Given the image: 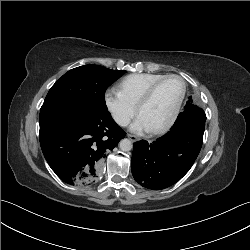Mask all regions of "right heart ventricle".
<instances>
[{
    "mask_svg": "<svg viewBox=\"0 0 250 250\" xmlns=\"http://www.w3.org/2000/svg\"><path fill=\"white\" fill-rule=\"evenodd\" d=\"M162 76L164 74L160 73L130 74L120 81L119 91L131 104L137 106L147 88Z\"/></svg>",
    "mask_w": 250,
    "mask_h": 250,
    "instance_id": "e07e8e85",
    "label": "right heart ventricle"
}]
</instances>
